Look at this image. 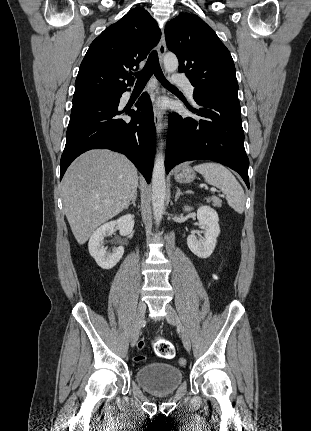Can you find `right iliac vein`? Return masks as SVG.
I'll list each match as a JSON object with an SVG mask.
<instances>
[{
    "label": "right iliac vein",
    "mask_w": 311,
    "mask_h": 431,
    "mask_svg": "<svg viewBox=\"0 0 311 431\" xmlns=\"http://www.w3.org/2000/svg\"><path fill=\"white\" fill-rule=\"evenodd\" d=\"M146 312V305L144 302H139L137 306V312L135 321L133 324L132 332H131V345L134 346L139 338V334L141 331V327L143 324L144 316Z\"/></svg>",
    "instance_id": "right-iliac-vein-1"
}]
</instances>
